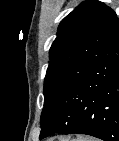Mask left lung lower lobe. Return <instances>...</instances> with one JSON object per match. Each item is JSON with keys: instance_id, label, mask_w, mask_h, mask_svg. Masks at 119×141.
I'll return each instance as SVG.
<instances>
[{"instance_id": "0a47b994", "label": "left lung lower lobe", "mask_w": 119, "mask_h": 141, "mask_svg": "<svg viewBox=\"0 0 119 141\" xmlns=\"http://www.w3.org/2000/svg\"><path fill=\"white\" fill-rule=\"evenodd\" d=\"M40 121V138L78 133L119 141V19L83 72L43 108Z\"/></svg>"}]
</instances>
